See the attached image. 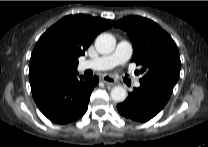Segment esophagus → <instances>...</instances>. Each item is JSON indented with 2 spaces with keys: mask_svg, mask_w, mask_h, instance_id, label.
I'll return each instance as SVG.
<instances>
[{
  "mask_svg": "<svg viewBox=\"0 0 208 147\" xmlns=\"http://www.w3.org/2000/svg\"><path fill=\"white\" fill-rule=\"evenodd\" d=\"M102 81L106 85H110V86H113L117 83V81L113 77H111L110 75H103L102 76Z\"/></svg>",
  "mask_w": 208,
  "mask_h": 147,
  "instance_id": "esophagus-1",
  "label": "esophagus"
}]
</instances>
